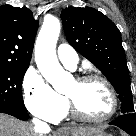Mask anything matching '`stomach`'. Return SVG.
Masks as SVG:
<instances>
[{"mask_svg":"<svg viewBox=\"0 0 136 136\" xmlns=\"http://www.w3.org/2000/svg\"><path fill=\"white\" fill-rule=\"evenodd\" d=\"M62 136H111V135L105 133L103 130L98 128L90 134H76V135L71 134L69 135L67 132H65Z\"/></svg>","mask_w":136,"mask_h":136,"instance_id":"1","label":"stomach"}]
</instances>
